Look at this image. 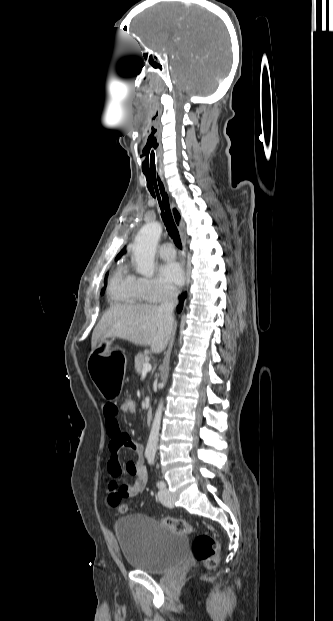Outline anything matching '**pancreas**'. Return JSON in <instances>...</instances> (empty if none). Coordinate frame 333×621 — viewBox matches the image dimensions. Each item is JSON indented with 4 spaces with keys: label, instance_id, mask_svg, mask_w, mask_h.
Here are the masks:
<instances>
[{
    "label": "pancreas",
    "instance_id": "obj_1",
    "mask_svg": "<svg viewBox=\"0 0 333 621\" xmlns=\"http://www.w3.org/2000/svg\"><path fill=\"white\" fill-rule=\"evenodd\" d=\"M148 352L139 353L135 356V370L137 373H141L143 370V364L148 362Z\"/></svg>",
    "mask_w": 333,
    "mask_h": 621
}]
</instances>
